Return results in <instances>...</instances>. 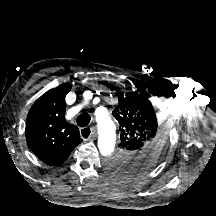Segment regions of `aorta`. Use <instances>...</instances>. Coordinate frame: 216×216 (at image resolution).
<instances>
[{"label": "aorta", "mask_w": 216, "mask_h": 216, "mask_svg": "<svg viewBox=\"0 0 216 216\" xmlns=\"http://www.w3.org/2000/svg\"><path fill=\"white\" fill-rule=\"evenodd\" d=\"M98 124V148L103 156H110L114 151L116 142V126L107 112L98 110L96 112Z\"/></svg>", "instance_id": "aorta-1"}]
</instances>
